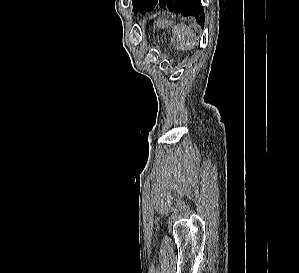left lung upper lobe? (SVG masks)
<instances>
[{
	"instance_id": "obj_1",
	"label": "left lung upper lobe",
	"mask_w": 299,
	"mask_h": 273,
	"mask_svg": "<svg viewBox=\"0 0 299 273\" xmlns=\"http://www.w3.org/2000/svg\"><path fill=\"white\" fill-rule=\"evenodd\" d=\"M146 0H133V11L134 13L140 12L145 4Z\"/></svg>"
}]
</instances>
